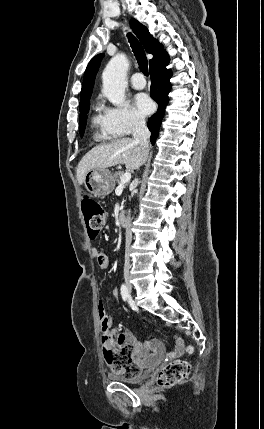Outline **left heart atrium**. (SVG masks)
Segmentation results:
<instances>
[{"label": "left heart atrium", "instance_id": "1", "mask_svg": "<svg viewBox=\"0 0 264 429\" xmlns=\"http://www.w3.org/2000/svg\"><path fill=\"white\" fill-rule=\"evenodd\" d=\"M134 105L136 112L142 116L151 113V111L153 110V103L151 99L143 93L138 94L135 97Z\"/></svg>", "mask_w": 264, "mask_h": 429}]
</instances>
